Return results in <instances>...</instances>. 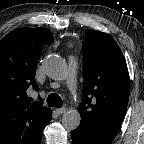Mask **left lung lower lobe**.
Returning a JSON list of instances; mask_svg holds the SVG:
<instances>
[{"instance_id":"left-lung-lower-lobe-1","label":"left lung lower lobe","mask_w":144,"mask_h":144,"mask_svg":"<svg viewBox=\"0 0 144 144\" xmlns=\"http://www.w3.org/2000/svg\"><path fill=\"white\" fill-rule=\"evenodd\" d=\"M73 144H111V140L94 138L88 135L83 129L77 128L72 131Z\"/></svg>"}]
</instances>
